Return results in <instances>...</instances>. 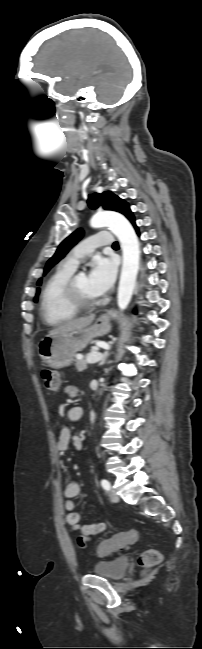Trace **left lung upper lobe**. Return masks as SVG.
<instances>
[{
  "instance_id": "left-lung-upper-lobe-1",
  "label": "left lung upper lobe",
  "mask_w": 202,
  "mask_h": 649,
  "mask_svg": "<svg viewBox=\"0 0 202 649\" xmlns=\"http://www.w3.org/2000/svg\"><path fill=\"white\" fill-rule=\"evenodd\" d=\"M88 206L92 209H96L98 206L102 205L106 210H113L122 213L128 219L133 215L129 205L126 201L120 199L118 196L113 194L110 191H106L102 194L94 193L88 196ZM83 236V231L81 229L76 230L69 237H67L58 247L56 253L51 257L44 269V273H47L51 267L58 263L67 252L80 240ZM38 285H41V279H39ZM40 289H37L36 297L34 298L35 302L38 299Z\"/></svg>"
}]
</instances>
